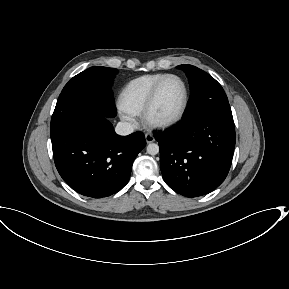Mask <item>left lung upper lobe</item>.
<instances>
[{
	"mask_svg": "<svg viewBox=\"0 0 289 289\" xmlns=\"http://www.w3.org/2000/svg\"><path fill=\"white\" fill-rule=\"evenodd\" d=\"M178 68L186 73L191 88V97L183 120L207 113L233 118L223 88L211 75L189 64L179 65Z\"/></svg>",
	"mask_w": 289,
	"mask_h": 289,
	"instance_id": "5c2ea615",
	"label": "left lung upper lobe"
}]
</instances>
